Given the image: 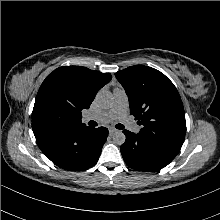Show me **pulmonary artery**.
I'll use <instances>...</instances> for the list:
<instances>
[{"instance_id": "1", "label": "pulmonary artery", "mask_w": 220, "mask_h": 220, "mask_svg": "<svg viewBox=\"0 0 220 220\" xmlns=\"http://www.w3.org/2000/svg\"><path fill=\"white\" fill-rule=\"evenodd\" d=\"M114 102L110 110L95 115H87L84 121H95L100 124H106L112 120H121L131 131L138 132L139 126L133 123L128 115V97L125 90L121 87H116L113 90Z\"/></svg>"}]
</instances>
